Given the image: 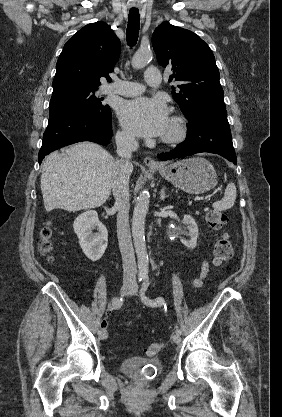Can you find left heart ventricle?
<instances>
[{"label":"left heart ventricle","mask_w":282,"mask_h":417,"mask_svg":"<svg viewBox=\"0 0 282 417\" xmlns=\"http://www.w3.org/2000/svg\"><path fill=\"white\" fill-rule=\"evenodd\" d=\"M169 130H170V125H168V126H167V128H166V130H165V132H164L163 134L168 133V132H169Z\"/></svg>","instance_id":"1"}]
</instances>
